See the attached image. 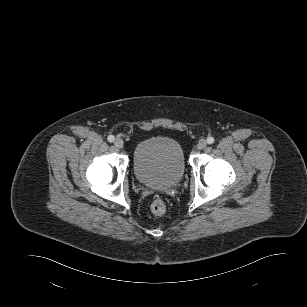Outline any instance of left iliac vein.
Segmentation results:
<instances>
[{
  "label": "left iliac vein",
  "instance_id": "left-iliac-vein-1",
  "mask_svg": "<svg viewBox=\"0 0 307 307\" xmlns=\"http://www.w3.org/2000/svg\"><path fill=\"white\" fill-rule=\"evenodd\" d=\"M206 145H207L206 141L205 140H201L197 144V149H199V150L204 149L206 147Z\"/></svg>",
  "mask_w": 307,
  "mask_h": 307
}]
</instances>
